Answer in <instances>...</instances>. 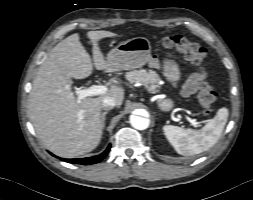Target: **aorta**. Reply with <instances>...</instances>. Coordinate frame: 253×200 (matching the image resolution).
Segmentation results:
<instances>
[{
    "label": "aorta",
    "mask_w": 253,
    "mask_h": 200,
    "mask_svg": "<svg viewBox=\"0 0 253 200\" xmlns=\"http://www.w3.org/2000/svg\"><path fill=\"white\" fill-rule=\"evenodd\" d=\"M130 124L132 127L138 130H145L149 127L150 121L148 118L131 115L130 116Z\"/></svg>",
    "instance_id": "obj_1"
}]
</instances>
